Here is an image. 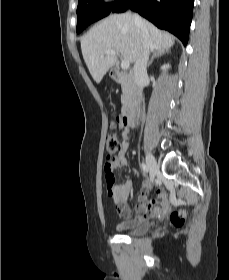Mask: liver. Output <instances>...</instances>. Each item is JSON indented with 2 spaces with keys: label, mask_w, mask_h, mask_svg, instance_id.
<instances>
[{
  "label": "liver",
  "mask_w": 229,
  "mask_h": 280,
  "mask_svg": "<svg viewBox=\"0 0 229 280\" xmlns=\"http://www.w3.org/2000/svg\"><path fill=\"white\" fill-rule=\"evenodd\" d=\"M151 41L150 50L167 49L174 44V37L160 31L153 24L143 20ZM143 49L141 29L130 13L114 14L92 27L81 39V51L88 70L96 83L118 61L117 55H105L107 50L120 53L124 60L135 63Z\"/></svg>",
  "instance_id": "obj_1"
}]
</instances>
